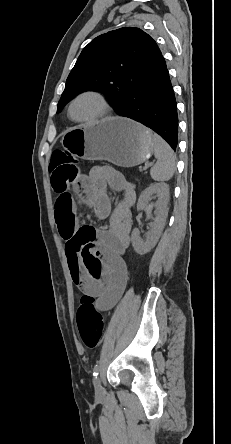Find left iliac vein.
Masks as SVG:
<instances>
[{
    "label": "left iliac vein",
    "instance_id": "1",
    "mask_svg": "<svg viewBox=\"0 0 231 444\" xmlns=\"http://www.w3.org/2000/svg\"><path fill=\"white\" fill-rule=\"evenodd\" d=\"M94 388H95V395L97 397H101L103 395V393H104V390H103L101 381H100V379L98 377H96L94 379Z\"/></svg>",
    "mask_w": 231,
    "mask_h": 444
}]
</instances>
